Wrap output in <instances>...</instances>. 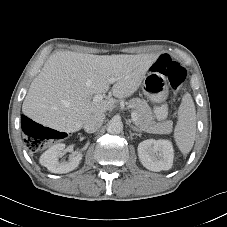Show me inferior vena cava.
<instances>
[{
    "mask_svg": "<svg viewBox=\"0 0 227 227\" xmlns=\"http://www.w3.org/2000/svg\"><path fill=\"white\" fill-rule=\"evenodd\" d=\"M104 119H105L104 113H95L93 115H90L85 120L83 128L87 133H94L101 127Z\"/></svg>",
    "mask_w": 227,
    "mask_h": 227,
    "instance_id": "obj_1",
    "label": "inferior vena cava"
}]
</instances>
